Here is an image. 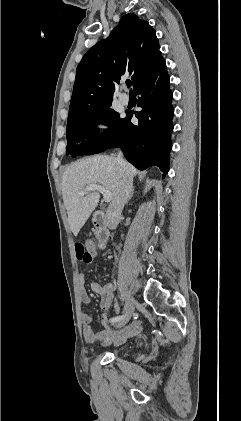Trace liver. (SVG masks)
<instances>
[{"instance_id":"liver-1","label":"liver","mask_w":241,"mask_h":421,"mask_svg":"<svg viewBox=\"0 0 241 421\" xmlns=\"http://www.w3.org/2000/svg\"><path fill=\"white\" fill-rule=\"evenodd\" d=\"M128 171L133 177L136 169L127 163ZM120 181L119 167L113 156L95 155L71 164L64 172L62 179V197L68 213V222L75 236L96 208L100 195L92 191L80 195L87 186L102 185L112 193L117 191Z\"/></svg>"}]
</instances>
